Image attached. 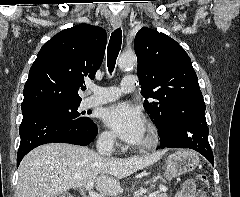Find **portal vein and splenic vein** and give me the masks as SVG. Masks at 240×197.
I'll return each mask as SVG.
<instances>
[{
	"label": "portal vein and splenic vein",
	"instance_id": "18ae733b",
	"mask_svg": "<svg viewBox=\"0 0 240 197\" xmlns=\"http://www.w3.org/2000/svg\"><path fill=\"white\" fill-rule=\"evenodd\" d=\"M93 186H94V182H88L87 184H86V190L88 191V195H89V197H103V196H101V195H99V194H97L96 192H94L92 189H93ZM156 195V193H153L152 194V197L153 196H155Z\"/></svg>",
	"mask_w": 240,
	"mask_h": 197
}]
</instances>
